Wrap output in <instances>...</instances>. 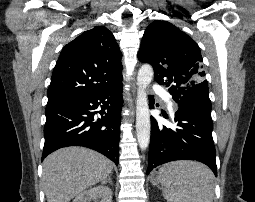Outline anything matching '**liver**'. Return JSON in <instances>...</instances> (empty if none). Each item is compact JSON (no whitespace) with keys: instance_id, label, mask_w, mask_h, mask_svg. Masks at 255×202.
Segmentation results:
<instances>
[{"instance_id":"1","label":"liver","mask_w":255,"mask_h":202,"mask_svg":"<svg viewBox=\"0 0 255 202\" xmlns=\"http://www.w3.org/2000/svg\"><path fill=\"white\" fill-rule=\"evenodd\" d=\"M113 170L105 156L84 147H65L43 161L47 202H69L85 189L103 182Z\"/></svg>"}]
</instances>
